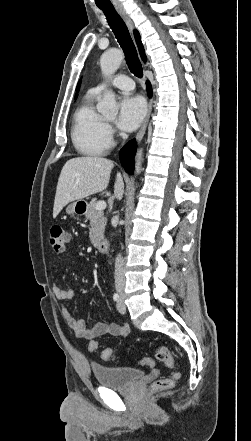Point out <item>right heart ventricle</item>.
I'll use <instances>...</instances> for the list:
<instances>
[{
	"mask_svg": "<svg viewBox=\"0 0 251 441\" xmlns=\"http://www.w3.org/2000/svg\"><path fill=\"white\" fill-rule=\"evenodd\" d=\"M97 95V92L90 90L73 115L72 142L76 150L86 156L102 155L111 145L107 124L94 106Z\"/></svg>",
	"mask_w": 251,
	"mask_h": 441,
	"instance_id": "right-heart-ventricle-1",
	"label": "right heart ventricle"
}]
</instances>
